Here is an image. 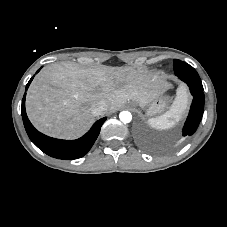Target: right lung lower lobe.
Listing matches in <instances>:
<instances>
[{
  "label": "right lung lower lobe",
  "instance_id": "98d812e1",
  "mask_svg": "<svg viewBox=\"0 0 227 227\" xmlns=\"http://www.w3.org/2000/svg\"><path fill=\"white\" fill-rule=\"evenodd\" d=\"M31 81L32 78L29 80L26 90L28 89ZM25 97L26 93L24 94L22 100L21 115L26 132L31 141L41 151L54 158L72 160L84 156L91 149L100 133L102 124L106 121V117L98 120L83 137L77 140L70 141L51 138L37 131L29 121L25 111Z\"/></svg>",
  "mask_w": 227,
  "mask_h": 227
}]
</instances>
